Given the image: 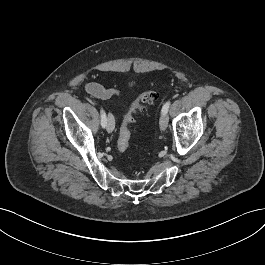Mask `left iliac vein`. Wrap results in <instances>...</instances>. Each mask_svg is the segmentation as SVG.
I'll return each mask as SVG.
<instances>
[{
  "label": "left iliac vein",
  "mask_w": 265,
  "mask_h": 265,
  "mask_svg": "<svg viewBox=\"0 0 265 265\" xmlns=\"http://www.w3.org/2000/svg\"><path fill=\"white\" fill-rule=\"evenodd\" d=\"M159 125L162 131L166 130L168 126V116L166 114L162 113V115L160 116Z\"/></svg>",
  "instance_id": "obj_1"
}]
</instances>
